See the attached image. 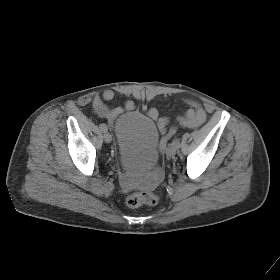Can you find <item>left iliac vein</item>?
Instances as JSON below:
<instances>
[{"mask_svg": "<svg viewBox=\"0 0 280 280\" xmlns=\"http://www.w3.org/2000/svg\"><path fill=\"white\" fill-rule=\"evenodd\" d=\"M176 148L174 146H169L167 149H166V154L169 156V157H174L175 154H176Z\"/></svg>", "mask_w": 280, "mask_h": 280, "instance_id": "obj_1", "label": "left iliac vein"}]
</instances>
